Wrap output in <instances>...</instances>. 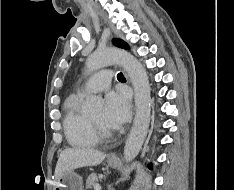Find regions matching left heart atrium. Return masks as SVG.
I'll list each match as a JSON object with an SVG mask.
<instances>
[{"mask_svg": "<svg viewBox=\"0 0 234 190\" xmlns=\"http://www.w3.org/2000/svg\"><path fill=\"white\" fill-rule=\"evenodd\" d=\"M130 117V101L125 92L111 91L105 98L104 120L111 128L123 126Z\"/></svg>", "mask_w": 234, "mask_h": 190, "instance_id": "obj_1", "label": "left heart atrium"}]
</instances>
